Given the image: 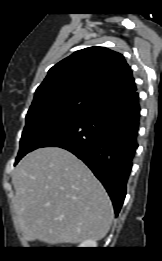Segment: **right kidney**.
<instances>
[{
	"mask_svg": "<svg viewBox=\"0 0 162 261\" xmlns=\"http://www.w3.org/2000/svg\"><path fill=\"white\" fill-rule=\"evenodd\" d=\"M80 248H96L97 243L94 240H85L79 245Z\"/></svg>",
	"mask_w": 162,
	"mask_h": 261,
	"instance_id": "obj_1",
	"label": "right kidney"
}]
</instances>
